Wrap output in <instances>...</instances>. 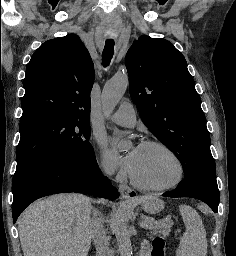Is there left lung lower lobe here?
<instances>
[{
  "label": "left lung lower lobe",
  "instance_id": "0a47b994",
  "mask_svg": "<svg viewBox=\"0 0 236 256\" xmlns=\"http://www.w3.org/2000/svg\"><path fill=\"white\" fill-rule=\"evenodd\" d=\"M165 197H191L208 204L214 212L218 211L219 189L216 177L195 174L181 181L173 191L165 192Z\"/></svg>",
  "mask_w": 236,
  "mask_h": 256
}]
</instances>
